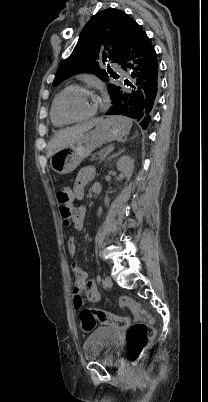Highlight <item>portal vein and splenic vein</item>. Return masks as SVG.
<instances>
[{
	"label": "portal vein and splenic vein",
	"instance_id": "obj_1",
	"mask_svg": "<svg viewBox=\"0 0 208 402\" xmlns=\"http://www.w3.org/2000/svg\"><path fill=\"white\" fill-rule=\"evenodd\" d=\"M107 152L108 153H111L112 152V150H114V148H112V145L111 144H108L107 145ZM104 156H107V153H104ZM93 159H96V156H93Z\"/></svg>",
	"mask_w": 208,
	"mask_h": 402
}]
</instances>
